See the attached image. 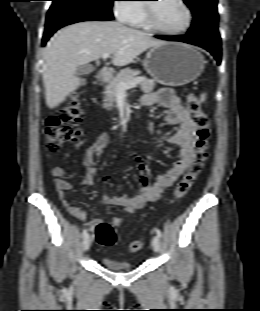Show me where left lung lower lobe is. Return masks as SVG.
Returning <instances> with one entry per match:
<instances>
[{
  "mask_svg": "<svg viewBox=\"0 0 260 311\" xmlns=\"http://www.w3.org/2000/svg\"><path fill=\"white\" fill-rule=\"evenodd\" d=\"M157 37L164 40L181 41L203 47L215 57L218 64H220L221 62V39L193 34H187L184 36H157Z\"/></svg>",
  "mask_w": 260,
  "mask_h": 311,
  "instance_id": "left-lung-lower-lobe-1",
  "label": "left lung lower lobe"
}]
</instances>
